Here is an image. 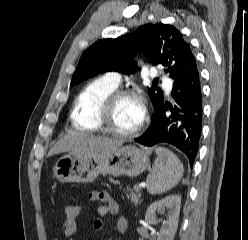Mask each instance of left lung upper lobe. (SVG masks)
Masks as SVG:
<instances>
[{"mask_svg":"<svg viewBox=\"0 0 248 240\" xmlns=\"http://www.w3.org/2000/svg\"><path fill=\"white\" fill-rule=\"evenodd\" d=\"M139 49L155 64H162L175 81L181 80L195 65L190 45L178 29L169 24H147L116 39L96 41L82 54L70 87L102 72L131 74L137 70L131 57ZM149 96L155 111L163 104L161 89L151 87Z\"/></svg>","mask_w":248,"mask_h":240,"instance_id":"obj_1","label":"left lung upper lobe"}]
</instances>
